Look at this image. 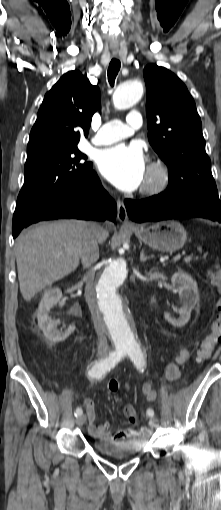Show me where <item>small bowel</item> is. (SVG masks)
I'll use <instances>...</instances> for the list:
<instances>
[{
  "label": "small bowel",
  "instance_id": "obj_1",
  "mask_svg": "<svg viewBox=\"0 0 221 510\" xmlns=\"http://www.w3.org/2000/svg\"><path fill=\"white\" fill-rule=\"evenodd\" d=\"M190 351L188 349H183L180 351L179 355L176 357L174 362L169 363L166 366V376L170 380L178 379L180 375V366L183 365L189 358ZM143 393L147 396V398L152 401L155 399V392L150 383H146L142 387ZM83 404L85 406L87 420H88V431L89 433L99 440H123L130 439L136 435V430L134 426L137 423L136 420V411L133 406L127 405L124 408L130 410L129 414H126L129 419L130 426L122 428L116 432L110 431V423L104 422L102 424H96V405L93 399L84 398Z\"/></svg>",
  "mask_w": 221,
  "mask_h": 510
}]
</instances>
